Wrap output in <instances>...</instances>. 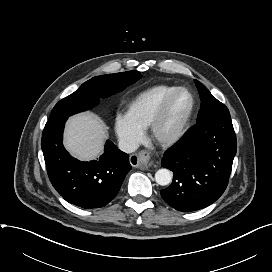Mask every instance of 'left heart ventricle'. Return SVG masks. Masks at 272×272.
Listing matches in <instances>:
<instances>
[{
    "label": "left heart ventricle",
    "mask_w": 272,
    "mask_h": 272,
    "mask_svg": "<svg viewBox=\"0 0 272 272\" xmlns=\"http://www.w3.org/2000/svg\"><path fill=\"white\" fill-rule=\"evenodd\" d=\"M192 105V98L187 92H180L173 100L168 114L159 128L162 137L172 135L186 118Z\"/></svg>",
    "instance_id": "left-heart-ventricle-1"
}]
</instances>
